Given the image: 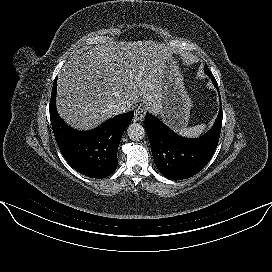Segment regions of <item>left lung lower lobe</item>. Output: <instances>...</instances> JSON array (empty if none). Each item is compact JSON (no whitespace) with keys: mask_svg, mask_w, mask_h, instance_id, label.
Returning a JSON list of instances; mask_svg holds the SVG:
<instances>
[{"mask_svg":"<svg viewBox=\"0 0 272 272\" xmlns=\"http://www.w3.org/2000/svg\"><path fill=\"white\" fill-rule=\"evenodd\" d=\"M209 77L219 91L214 76L211 74ZM221 127L222 107L213 128L196 139L175 134L151 114L145 118V130L154 161L160 173L171 180L190 178L207 165L218 145Z\"/></svg>","mask_w":272,"mask_h":272,"instance_id":"0a47b994","label":"left lung lower lobe"}]
</instances>
